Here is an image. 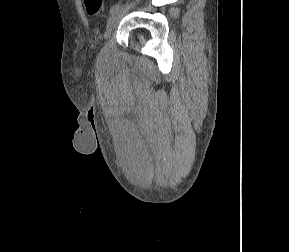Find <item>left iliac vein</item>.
<instances>
[{
    "mask_svg": "<svg viewBox=\"0 0 289 252\" xmlns=\"http://www.w3.org/2000/svg\"><path fill=\"white\" fill-rule=\"evenodd\" d=\"M132 7V4L126 7H121L118 11L112 13L107 20L106 33L109 35L113 29L118 25L123 15Z\"/></svg>",
    "mask_w": 289,
    "mask_h": 252,
    "instance_id": "left-iliac-vein-1",
    "label": "left iliac vein"
}]
</instances>
